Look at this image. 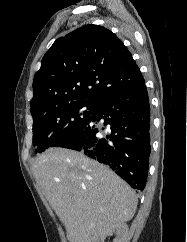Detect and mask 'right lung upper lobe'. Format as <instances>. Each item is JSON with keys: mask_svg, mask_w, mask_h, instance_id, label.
I'll return each mask as SVG.
<instances>
[{"mask_svg": "<svg viewBox=\"0 0 187 242\" xmlns=\"http://www.w3.org/2000/svg\"><path fill=\"white\" fill-rule=\"evenodd\" d=\"M144 83L122 41L99 25H85L58 38L44 55L33 81V117L72 102L98 105Z\"/></svg>", "mask_w": 187, "mask_h": 242, "instance_id": "right-lung-upper-lobe-1", "label": "right lung upper lobe"}]
</instances>
